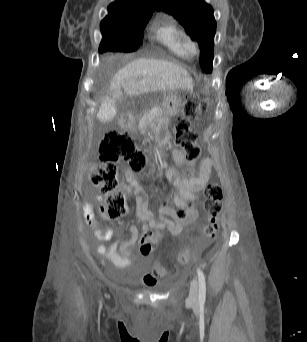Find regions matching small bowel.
I'll list each match as a JSON object with an SVG mask.
<instances>
[{
	"label": "small bowel",
	"mask_w": 307,
	"mask_h": 342,
	"mask_svg": "<svg viewBox=\"0 0 307 342\" xmlns=\"http://www.w3.org/2000/svg\"><path fill=\"white\" fill-rule=\"evenodd\" d=\"M171 156L176 164L184 162V155L178 149H174ZM212 165V159L205 157L199 165L198 172L189 177H179L173 168H168L166 170V177L177 191L173 196V205L162 206L159 210V217H156L148 209L146 195L140 187L135 173L128 170L126 172V180L130 190L138 196L137 221L142 224L143 233L145 229H152L153 225H164V232H181L183 227L194 222L198 217V211L194 204L200 201V192L210 179ZM101 200V196L97 195L92 201L85 203L84 217L86 223L92 227L94 237L97 240L111 241L113 240L112 230L110 228H100L94 213V209L99 206ZM99 209L104 215V207L99 206ZM179 210L186 212L184 218L178 217L177 213ZM130 231L131 237L128 241H113L108 247L98 245L95 247L96 253L105 256L118 268H127L131 264V256L138 242L137 228L132 225ZM142 254L148 255L149 253Z\"/></svg>",
	"instance_id": "1"
}]
</instances>
